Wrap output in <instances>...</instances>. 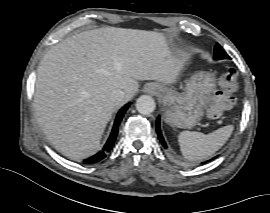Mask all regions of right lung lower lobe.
I'll list each match as a JSON object with an SVG mask.
<instances>
[{
    "instance_id": "right-lung-lower-lobe-1",
    "label": "right lung lower lobe",
    "mask_w": 270,
    "mask_h": 213,
    "mask_svg": "<svg viewBox=\"0 0 270 213\" xmlns=\"http://www.w3.org/2000/svg\"><path fill=\"white\" fill-rule=\"evenodd\" d=\"M129 106H130V103L126 104L117 114L112 132H111L110 137H109L108 141L106 142L104 148L96 155L84 160V163H86V164L96 163V162L102 160L106 156V153L111 150V148L116 140V136L118 134V126H119V124H120V122H121V120H122V118H123V116H124V114Z\"/></svg>"
}]
</instances>
